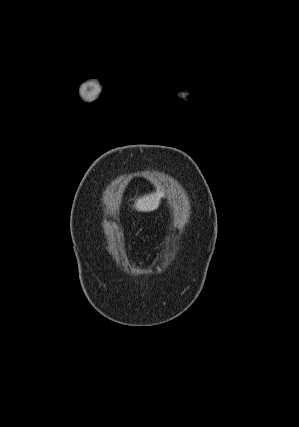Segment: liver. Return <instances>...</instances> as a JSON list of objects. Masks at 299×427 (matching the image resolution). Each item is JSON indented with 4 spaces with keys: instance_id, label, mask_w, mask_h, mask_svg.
Listing matches in <instances>:
<instances>
[{
    "instance_id": "1",
    "label": "liver",
    "mask_w": 299,
    "mask_h": 427,
    "mask_svg": "<svg viewBox=\"0 0 299 427\" xmlns=\"http://www.w3.org/2000/svg\"><path fill=\"white\" fill-rule=\"evenodd\" d=\"M164 193L157 190L155 193L144 195L136 200L134 208L141 212H150L158 208Z\"/></svg>"
}]
</instances>
